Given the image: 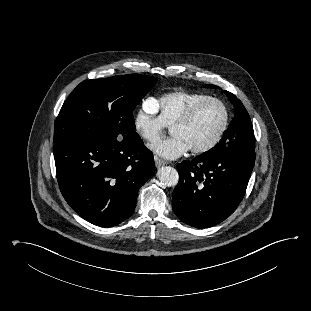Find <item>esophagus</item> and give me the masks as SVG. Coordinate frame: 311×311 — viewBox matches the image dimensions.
<instances>
[{
	"instance_id": "34e87169",
	"label": "esophagus",
	"mask_w": 311,
	"mask_h": 311,
	"mask_svg": "<svg viewBox=\"0 0 311 311\" xmlns=\"http://www.w3.org/2000/svg\"><path fill=\"white\" fill-rule=\"evenodd\" d=\"M154 159H155V165H156L157 168L167 164L166 161H164V160H162V159H160L158 157H155Z\"/></svg>"
}]
</instances>
